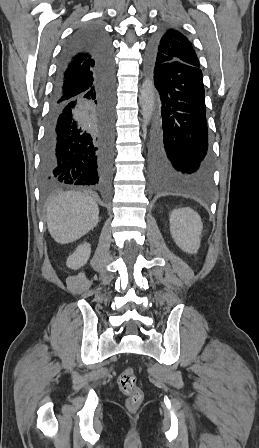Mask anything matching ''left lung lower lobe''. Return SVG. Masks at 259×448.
Returning a JSON list of instances; mask_svg holds the SVG:
<instances>
[{
  "label": "left lung lower lobe",
  "mask_w": 259,
  "mask_h": 448,
  "mask_svg": "<svg viewBox=\"0 0 259 448\" xmlns=\"http://www.w3.org/2000/svg\"><path fill=\"white\" fill-rule=\"evenodd\" d=\"M146 58L150 79L160 95L150 139V174L159 191L203 193L210 189L213 156L206 118L202 71L173 61Z\"/></svg>",
  "instance_id": "0a47b994"
}]
</instances>
